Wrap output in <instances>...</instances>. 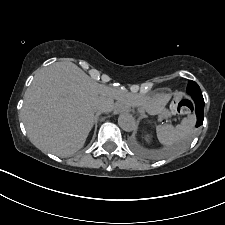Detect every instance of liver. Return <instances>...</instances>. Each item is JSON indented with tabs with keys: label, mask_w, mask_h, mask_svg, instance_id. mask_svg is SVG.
Returning <instances> with one entry per match:
<instances>
[{
	"label": "liver",
	"mask_w": 225,
	"mask_h": 225,
	"mask_svg": "<svg viewBox=\"0 0 225 225\" xmlns=\"http://www.w3.org/2000/svg\"><path fill=\"white\" fill-rule=\"evenodd\" d=\"M114 100L144 106L147 99L91 79L72 62H56L37 71L25 92L22 121L37 148L66 157L83 147L98 106L110 111Z\"/></svg>",
	"instance_id": "6515ba94"
}]
</instances>
